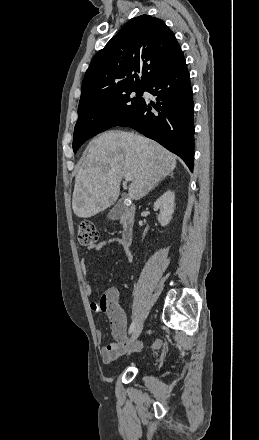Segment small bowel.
Wrapping results in <instances>:
<instances>
[{
  "mask_svg": "<svg viewBox=\"0 0 259 440\" xmlns=\"http://www.w3.org/2000/svg\"><path fill=\"white\" fill-rule=\"evenodd\" d=\"M109 245H116L123 248L129 260L132 259V255L129 251V245L124 243L120 237H109L101 240L97 244L88 247L86 255L91 251H99L103 247ZM81 268L83 281L85 286V292L88 296L91 295L92 289L88 280V269L86 256L81 259ZM90 309L95 313L103 312L107 315L110 321L111 333L114 341L101 348L100 354L102 360L105 362H111L117 359L122 353H124L128 348L127 340V321L124 311L118 304V293L116 290L111 289L106 292L99 301H93L90 303ZM96 336L98 341L102 340V332L100 330L96 331ZM161 341H156L153 344L154 348H159L161 346ZM130 345V343H129ZM141 347L138 343L136 348Z\"/></svg>",
  "mask_w": 259,
  "mask_h": 440,
  "instance_id": "obj_1",
  "label": "small bowel"
}]
</instances>
